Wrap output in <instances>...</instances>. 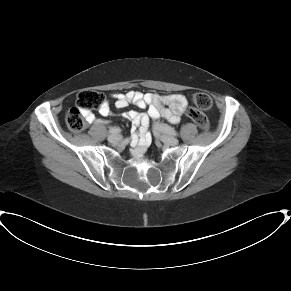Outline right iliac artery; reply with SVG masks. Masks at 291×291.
<instances>
[{
  "label": "right iliac artery",
  "instance_id": "1",
  "mask_svg": "<svg viewBox=\"0 0 291 291\" xmlns=\"http://www.w3.org/2000/svg\"><path fill=\"white\" fill-rule=\"evenodd\" d=\"M109 132L112 133V134H117V133L121 132V129H119V128H111L109 130Z\"/></svg>",
  "mask_w": 291,
  "mask_h": 291
}]
</instances>
